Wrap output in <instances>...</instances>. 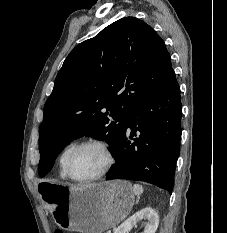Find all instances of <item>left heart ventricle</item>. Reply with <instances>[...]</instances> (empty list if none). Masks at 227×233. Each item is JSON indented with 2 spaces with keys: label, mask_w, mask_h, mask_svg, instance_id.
Wrapping results in <instances>:
<instances>
[{
  "label": "left heart ventricle",
  "mask_w": 227,
  "mask_h": 233,
  "mask_svg": "<svg viewBox=\"0 0 227 233\" xmlns=\"http://www.w3.org/2000/svg\"><path fill=\"white\" fill-rule=\"evenodd\" d=\"M106 164L103 150L97 146H85L74 153L70 170L76 178H87L98 174Z\"/></svg>",
  "instance_id": "b2bd125f"
}]
</instances>
